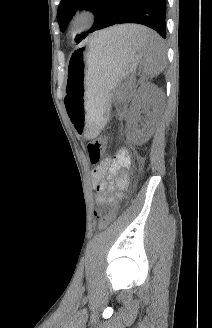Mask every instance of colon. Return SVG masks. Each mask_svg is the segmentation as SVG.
Returning <instances> with one entry per match:
<instances>
[{
    "mask_svg": "<svg viewBox=\"0 0 212 328\" xmlns=\"http://www.w3.org/2000/svg\"><path fill=\"white\" fill-rule=\"evenodd\" d=\"M105 148H106L105 138H98L87 144V153H88L89 160L92 164H97L100 161L105 151ZM101 205L102 207L97 208L94 214L99 220L100 228H106L114 219L118 208L107 210L105 207H103L104 204Z\"/></svg>",
    "mask_w": 212,
    "mask_h": 328,
    "instance_id": "5ec220e1",
    "label": "colon"
}]
</instances>
